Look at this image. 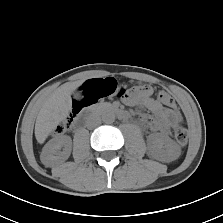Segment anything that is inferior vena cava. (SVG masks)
Returning a JSON list of instances; mask_svg holds the SVG:
<instances>
[{
	"mask_svg": "<svg viewBox=\"0 0 223 223\" xmlns=\"http://www.w3.org/2000/svg\"><path fill=\"white\" fill-rule=\"evenodd\" d=\"M100 122H101L100 117H97V116L91 117L87 122V126H88V128H92V127L99 125Z\"/></svg>",
	"mask_w": 223,
	"mask_h": 223,
	"instance_id": "obj_1",
	"label": "inferior vena cava"
}]
</instances>
